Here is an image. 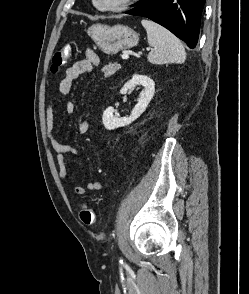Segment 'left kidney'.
<instances>
[{
    "instance_id": "obj_1",
    "label": "left kidney",
    "mask_w": 249,
    "mask_h": 294,
    "mask_svg": "<svg viewBox=\"0 0 249 294\" xmlns=\"http://www.w3.org/2000/svg\"><path fill=\"white\" fill-rule=\"evenodd\" d=\"M135 85H141L145 88L144 92L140 94L137 104L135 105L129 117L119 118L114 115V108L108 107L102 117V122L107 130H113L118 127H124L131 124L145 111L155 92L154 81L145 75L135 74L120 90V94H126Z\"/></svg>"
}]
</instances>
